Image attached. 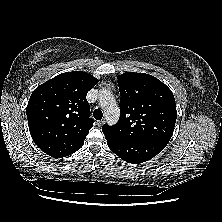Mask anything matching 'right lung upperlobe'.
I'll use <instances>...</instances> for the list:
<instances>
[{
  "label": "right lung upper lobe",
  "mask_w": 222,
  "mask_h": 222,
  "mask_svg": "<svg viewBox=\"0 0 222 222\" xmlns=\"http://www.w3.org/2000/svg\"><path fill=\"white\" fill-rule=\"evenodd\" d=\"M98 82L90 74H59L38 86L29 99L26 114L36 145L54 158L79 150L92 127L86 95Z\"/></svg>",
  "instance_id": "cb5924a9"
}]
</instances>
